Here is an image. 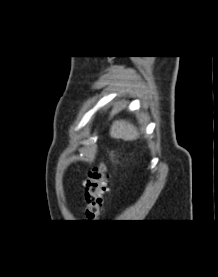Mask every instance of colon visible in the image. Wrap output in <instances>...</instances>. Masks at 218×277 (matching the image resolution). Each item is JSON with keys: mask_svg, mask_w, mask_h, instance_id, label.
I'll use <instances>...</instances> for the list:
<instances>
[{"mask_svg": "<svg viewBox=\"0 0 218 277\" xmlns=\"http://www.w3.org/2000/svg\"><path fill=\"white\" fill-rule=\"evenodd\" d=\"M108 188V169L101 164L88 171L84 184V216L86 220L100 217Z\"/></svg>", "mask_w": 218, "mask_h": 277, "instance_id": "colon-1", "label": "colon"}]
</instances>
